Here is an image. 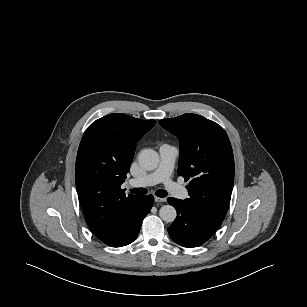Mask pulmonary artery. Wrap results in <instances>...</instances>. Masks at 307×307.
<instances>
[{
  "label": "pulmonary artery",
  "mask_w": 307,
  "mask_h": 307,
  "mask_svg": "<svg viewBox=\"0 0 307 307\" xmlns=\"http://www.w3.org/2000/svg\"><path fill=\"white\" fill-rule=\"evenodd\" d=\"M160 162L158 167L151 173L129 180L132 187H145L163 183L166 188L177 198L186 199L188 192L185 188L171 180L175 161L179 156V150L175 146L162 144L159 148Z\"/></svg>",
  "instance_id": "e3ab8cb5"
}]
</instances>
